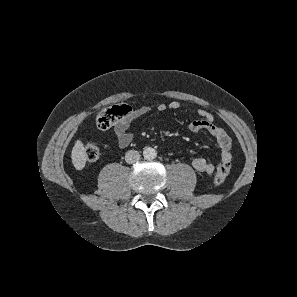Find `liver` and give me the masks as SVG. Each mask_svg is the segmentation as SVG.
Instances as JSON below:
<instances>
[{
  "label": "liver",
  "mask_w": 297,
  "mask_h": 297,
  "mask_svg": "<svg viewBox=\"0 0 297 297\" xmlns=\"http://www.w3.org/2000/svg\"><path fill=\"white\" fill-rule=\"evenodd\" d=\"M72 163L77 170L84 168L87 161L85 147L81 140H77L71 153Z\"/></svg>",
  "instance_id": "obj_1"
}]
</instances>
